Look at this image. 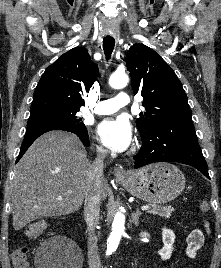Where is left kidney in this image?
I'll list each match as a JSON object with an SVG mask.
<instances>
[{
  "label": "left kidney",
  "mask_w": 221,
  "mask_h": 268,
  "mask_svg": "<svg viewBox=\"0 0 221 268\" xmlns=\"http://www.w3.org/2000/svg\"><path fill=\"white\" fill-rule=\"evenodd\" d=\"M162 239L164 247L158 251L162 260H167L171 257L173 251V244L175 242V234L172 230L163 228Z\"/></svg>",
  "instance_id": "1"
}]
</instances>
